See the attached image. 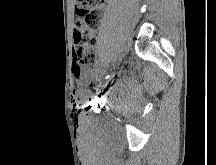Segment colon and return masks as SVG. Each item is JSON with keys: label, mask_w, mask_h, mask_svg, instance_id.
I'll return each instance as SVG.
<instances>
[{"label": "colon", "mask_w": 216, "mask_h": 165, "mask_svg": "<svg viewBox=\"0 0 216 165\" xmlns=\"http://www.w3.org/2000/svg\"><path fill=\"white\" fill-rule=\"evenodd\" d=\"M104 0H77V21L74 28V61L80 66L96 64L95 31L100 21V7Z\"/></svg>", "instance_id": "colon-1"}]
</instances>
